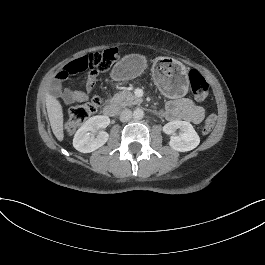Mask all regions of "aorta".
<instances>
[{"label":"aorta","mask_w":265,"mask_h":265,"mask_svg":"<svg viewBox=\"0 0 265 265\" xmlns=\"http://www.w3.org/2000/svg\"><path fill=\"white\" fill-rule=\"evenodd\" d=\"M133 117L137 120H140L144 117V111L140 108H137L133 112Z\"/></svg>","instance_id":"obj_1"}]
</instances>
